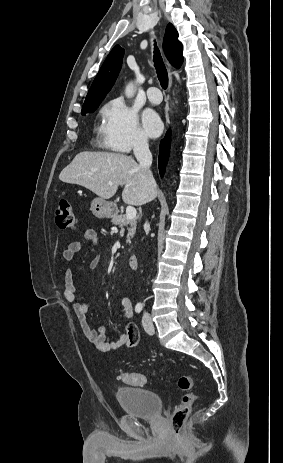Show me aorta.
I'll return each instance as SVG.
<instances>
[{
  "instance_id": "1",
  "label": "aorta",
  "mask_w": 283,
  "mask_h": 463,
  "mask_svg": "<svg viewBox=\"0 0 283 463\" xmlns=\"http://www.w3.org/2000/svg\"><path fill=\"white\" fill-rule=\"evenodd\" d=\"M135 94V88L132 82H130L125 88V95L127 98H132Z\"/></svg>"
}]
</instances>
